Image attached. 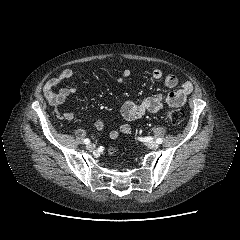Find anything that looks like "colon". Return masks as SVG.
<instances>
[{"label":"colon","instance_id":"obj_1","mask_svg":"<svg viewBox=\"0 0 240 240\" xmlns=\"http://www.w3.org/2000/svg\"><path fill=\"white\" fill-rule=\"evenodd\" d=\"M184 118V113L182 110L177 108H170L166 112V120L172 125H177L182 122ZM110 152L113 153V149H110Z\"/></svg>","mask_w":240,"mask_h":240}]
</instances>
